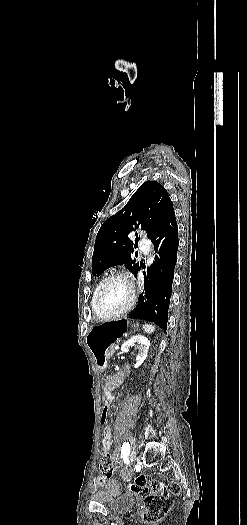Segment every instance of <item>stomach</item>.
<instances>
[{
	"label": "stomach",
	"instance_id": "0dacf381",
	"mask_svg": "<svg viewBox=\"0 0 247 525\" xmlns=\"http://www.w3.org/2000/svg\"><path fill=\"white\" fill-rule=\"evenodd\" d=\"M138 325L126 318L94 325L86 338V345L100 370L106 368V350L122 336L137 330Z\"/></svg>",
	"mask_w": 247,
	"mask_h": 525
}]
</instances>
